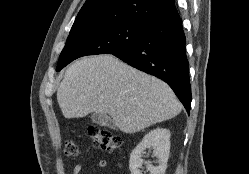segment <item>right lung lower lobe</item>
<instances>
[{
  "mask_svg": "<svg viewBox=\"0 0 249 174\" xmlns=\"http://www.w3.org/2000/svg\"><path fill=\"white\" fill-rule=\"evenodd\" d=\"M185 42L182 21L177 13L149 20L143 35L133 45L111 54L165 81L189 113L191 87Z\"/></svg>",
  "mask_w": 249,
  "mask_h": 174,
  "instance_id": "right-lung-lower-lobe-1",
  "label": "right lung lower lobe"
}]
</instances>
